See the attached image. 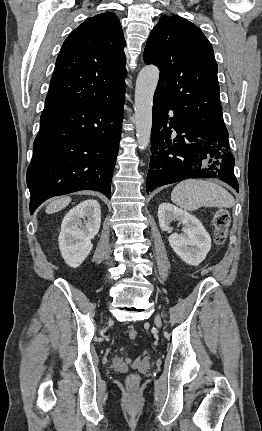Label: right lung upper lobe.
<instances>
[{
    "label": "right lung upper lobe",
    "instance_id": "right-lung-upper-lobe-1",
    "mask_svg": "<svg viewBox=\"0 0 262 431\" xmlns=\"http://www.w3.org/2000/svg\"><path fill=\"white\" fill-rule=\"evenodd\" d=\"M124 46L114 13L83 22L63 43L45 106L92 105L115 99L126 88Z\"/></svg>",
    "mask_w": 262,
    "mask_h": 431
}]
</instances>
